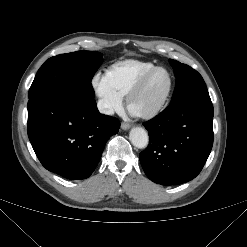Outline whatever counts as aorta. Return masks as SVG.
Segmentation results:
<instances>
[{
    "label": "aorta",
    "mask_w": 247,
    "mask_h": 247,
    "mask_svg": "<svg viewBox=\"0 0 247 247\" xmlns=\"http://www.w3.org/2000/svg\"><path fill=\"white\" fill-rule=\"evenodd\" d=\"M131 143L139 148L144 149L149 143L148 133L141 127H134L129 133Z\"/></svg>",
    "instance_id": "obj_1"
}]
</instances>
